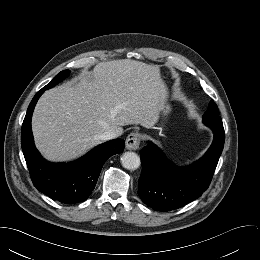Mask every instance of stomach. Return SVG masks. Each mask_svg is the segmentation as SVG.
Returning a JSON list of instances; mask_svg holds the SVG:
<instances>
[{
  "label": "stomach",
  "mask_w": 260,
  "mask_h": 260,
  "mask_svg": "<svg viewBox=\"0 0 260 260\" xmlns=\"http://www.w3.org/2000/svg\"><path fill=\"white\" fill-rule=\"evenodd\" d=\"M170 111H171V106H170L169 101H168V99H167V97H166V98L164 99V101H163L161 107H160V112H161L164 116H166V115L169 114ZM157 129H158V131H159V136H164V134H163V132H162V127H159V128H157Z\"/></svg>",
  "instance_id": "0dacf381"
}]
</instances>
